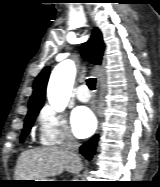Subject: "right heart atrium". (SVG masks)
Returning <instances> with one entry per match:
<instances>
[{"label":"right heart atrium","instance_id":"right-heart-atrium-1","mask_svg":"<svg viewBox=\"0 0 160 187\" xmlns=\"http://www.w3.org/2000/svg\"><path fill=\"white\" fill-rule=\"evenodd\" d=\"M40 141L43 145L76 146L75 138L66 118L51 107L41 110L39 117Z\"/></svg>","mask_w":160,"mask_h":187}]
</instances>
